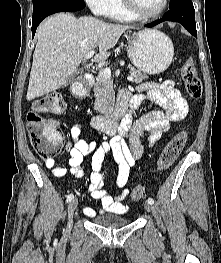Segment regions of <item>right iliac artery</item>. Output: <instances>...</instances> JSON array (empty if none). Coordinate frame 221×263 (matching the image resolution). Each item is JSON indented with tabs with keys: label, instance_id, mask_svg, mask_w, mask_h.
Masks as SVG:
<instances>
[{
	"label": "right iliac artery",
	"instance_id": "right-iliac-artery-1",
	"mask_svg": "<svg viewBox=\"0 0 221 263\" xmlns=\"http://www.w3.org/2000/svg\"><path fill=\"white\" fill-rule=\"evenodd\" d=\"M73 198H74V195L73 194H69L67 196V199H66L67 203L70 202Z\"/></svg>",
	"mask_w": 221,
	"mask_h": 263
}]
</instances>
